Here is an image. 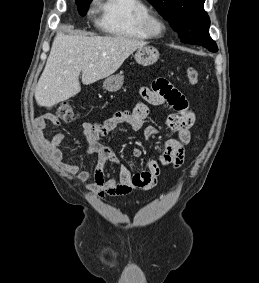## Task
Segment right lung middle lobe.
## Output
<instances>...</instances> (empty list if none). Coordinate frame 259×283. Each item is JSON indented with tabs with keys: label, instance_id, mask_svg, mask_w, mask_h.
<instances>
[{
	"label": "right lung middle lobe",
	"instance_id": "obj_1",
	"mask_svg": "<svg viewBox=\"0 0 259 283\" xmlns=\"http://www.w3.org/2000/svg\"><path fill=\"white\" fill-rule=\"evenodd\" d=\"M81 16H85L92 0H75Z\"/></svg>",
	"mask_w": 259,
	"mask_h": 283
}]
</instances>
